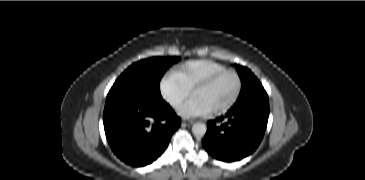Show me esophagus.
<instances>
[{
	"label": "esophagus",
	"mask_w": 365,
	"mask_h": 180,
	"mask_svg": "<svg viewBox=\"0 0 365 180\" xmlns=\"http://www.w3.org/2000/svg\"><path fill=\"white\" fill-rule=\"evenodd\" d=\"M184 123H186L187 125L192 124V121H184Z\"/></svg>",
	"instance_id": "esophagus-1"
}]
</instances>
